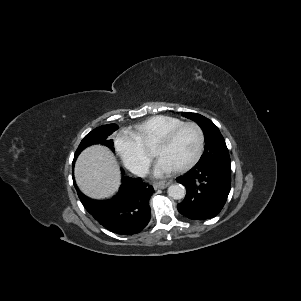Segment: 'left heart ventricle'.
Returning a JSON list of instances; mask_svg holds the SVG:
<instances>
[{
	"label": "left heart ventricle",
	"mask_w": 301,
	"mask_h": 301,
	"mask_svg": "<svg viewBox=\"0 0 301 301\" xmlns=\"http://www.w3.org/2000/svg\"><path fill=\"white\" fill-rule=\"evenodd\" d=\"M198 135L193 127L183 128L176 137L168 143H155L153 152L179 167L190 160L196 152Z\"/></svg>",
	"instance_id": "left-heart-ventricle-1"
}]
</instances>
